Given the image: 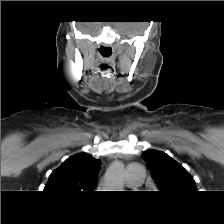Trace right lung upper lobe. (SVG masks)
Wrapping results in <instances>:
<instances>
[{"mask_svg": "<svg viewBox=\"0 0 224 224\" xmlns=\"http://www.w3.org/2000/svg\"><path fill=\"white\" fill-rule=\"evenodd\" d=\"M101 161L87 153L65 160L50 176L44 190L56 193H91L95 188Z\"/></svg>", "mask_w": 224, "mask_h": 224, "instance_id": "1", "label": "right lung upper lobe"}]
</instances>
